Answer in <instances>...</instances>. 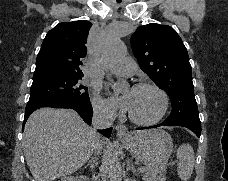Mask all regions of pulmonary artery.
Listing matches in <instances>:
<instances>
[{
	"label": "pulmonary artery",
	"mask_w": 228,
	"mask_h": 181,
	"mask_svg": "<svg viewBox=\"0 0 228 181\" xmlns=\"http://www.w3.org/2000/svg\"><path fill=\"white\" fill-rule=\"evenodd\" d=\"M121 62H124V65H115V70H125V75H134L137 71V62H132V57L121 58Z\"/></svg>",
	"instance_id": "pulmonary-artery-1"
}]
</instances>
